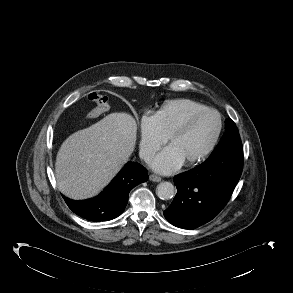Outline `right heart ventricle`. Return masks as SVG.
Listing matches in <instances>:
<instances>
[{
  "mask_svg": "<svg viewBox=\"0 0 293 293\" xmlns=\"http://www.w3.org/2000/svg\"><path fill=\"white\" fill-rule=\"evenodd\" d=\"M207 107L199 102L180 98L166 101L153 113L160 133L167 138L188 116Z\"/></svg>",
  "mask_w": 293,
  "mask_h": 293,
  "instance_id": "e07e8e85",
  "label": "right heart ventricle"
}]
</instances>
